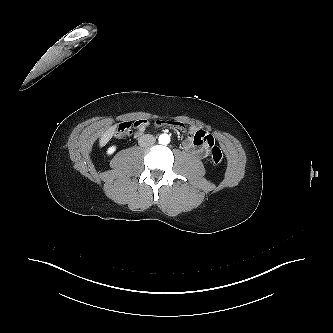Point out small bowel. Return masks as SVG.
<instances>
[{"label":"small bowel","mask_w":333,"mask_h":333,"mask_svg":"<svg viewBox=\"0 0 333 333\" xmlns=\"http://www.w3.org/2000/svg\"><path fill=\"white\" fill-rule=\"evenodd\" d=\"M156 124L159 126H168L177 130H187L183 123L175 120H158L156 121ZM148 126L149 122L146 119L137 120L135 122L136 135H142ZM213 144H215V139L212 135L204 130L189 127L188 135L182 145L185 150L204 158L208 155L209 148Z\"/></svg>","instance_id":"1"}]
</instances>
